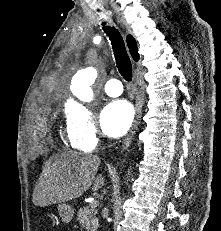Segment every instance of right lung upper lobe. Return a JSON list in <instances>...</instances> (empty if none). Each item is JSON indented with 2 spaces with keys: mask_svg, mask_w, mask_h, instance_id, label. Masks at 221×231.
I'll list each match as a JSON object with an SVG mask.
<instances>
[{
  "mask_svg": "<svg viewBox=\"0 0 221 231\" xmlns=\"http://www.w3.org/2000/svg\"><path fill=\"white\" fill-rule=\"evenodd\" d=\"M127 44L129 46V49H130V52L132 54L133 59L135 61H138L139 54H138V50H137V45H136V42L132 36L127 37Z\"/></svg>",
  "mask_w": 221,
  "mask_h": 231,
  "instance_id": "obj_1",
  "label": "right lung upper lobe"
}]
</instances>
